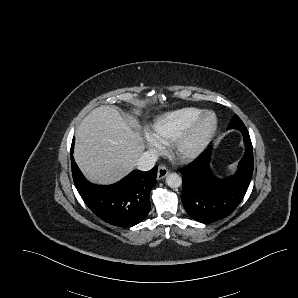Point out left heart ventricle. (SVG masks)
Listing matches in <instances>:
<instances>
[{"label": "left heart ventricle", "mask_w": 298, "mask_h": 298, "mask_svg": "<svg viewBox=\"0 0 298 298\" xmlns=\"http://www.w3.org/2000/svg\"><path fill=\"white\" fill-rule=\"evenodd\" d=\"M210 128H211V118L207 117L199 123L195 134L189 139L188 143L193 144L198 138L207 134Z\"/></svg>", "instance_id": "1"}]
</instances>
